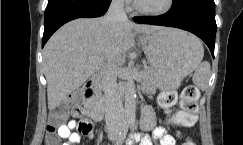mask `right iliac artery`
I'll return each instance as SVG.
<instances>
[{
	"label": "right iliac artery",
	"mask_w": 243,
	"mask_h": 145,
	"mask_svg": "<svg viewBox=\"0 0 243 145\" xmlns=\"http://www.w3.org/2000/svg\"><path fill=\"white\" fill-rule=\"evenodd\" d=\"M128 128H129V124L124 123L123 126H122V129L119 133V137H118L117 141L115 142V145H122L123 144V142L126 138L127 132H128Z\"/></svg>",
	"instance_id": "1"
}]
</instances>
